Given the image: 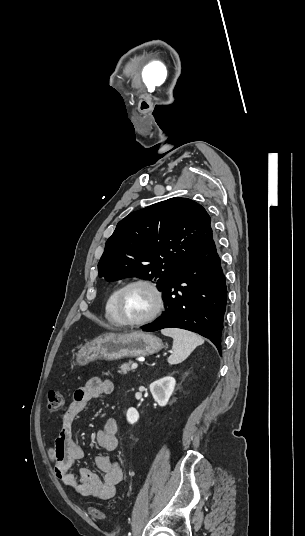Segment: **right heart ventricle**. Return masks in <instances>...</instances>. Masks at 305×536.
Listing matches in <instances>:
<instances>
[{
	"mask_svg": "<svg viewBox=\"0 0 305 536\" xmlns=\"http://www.w3.org/2000/svg\"><path fill=\"white\" fill-rule=\"evenodd\" d=\"M120 289V286H116L110 292L104 306V317L106 321L113 326H120L119 320L115 314V298Z\"/></svg>",
	"mask_w": 305,
	"mask_h": 536,
	"instance_id": "obj_1",
	"label": "right heart ventricle"
}]
</instances>
